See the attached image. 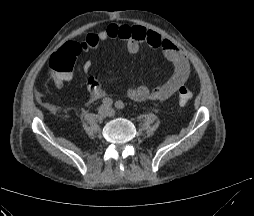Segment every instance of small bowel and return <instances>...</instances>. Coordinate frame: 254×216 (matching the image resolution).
Masks as SVG:
<instances>
[{
    "instance_id": "1",
    "label": "small bowel",
    "mask_w": 254,
    "mask_h": 216,
    "mask_svg": "<svg viewBox=\"0 0 254 216\" xmlns=\"http://www.w3.org/2000/svg\"><path fill=\"white\" fill-rule=\"evenodd\" d=\"M108 39H122L126 41L127 50L130 54H137L141 45L146 43L153 48L162 50L166 59L174 65V72L170 78L156 87L148 85L128 87L126 94L135 101L154 100L164 102L174 95L189 78L190 64L186 56L169 39L140 25L110 24L99 32L87 34L85 40L81 43L76 41L66 42L62 47V51L67 54H73V45L77 43L81 45L82 50L94 49L99 42ZM53 56L50 57L48 64ZM91 65V61L86 60L83 64L84 72L88 73ZM72 78V71L57 74L53 76V83L57 88H61L65 82L70 81ZM88 89L91 101L98 100L106 95V91L96 76L89 77Z\"/></svg>"
}]
</instances>
